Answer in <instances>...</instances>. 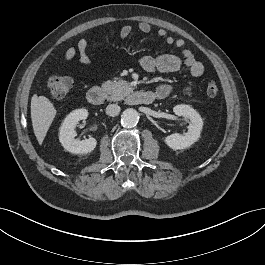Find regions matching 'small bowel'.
<instances>
[{"mask_svg": "<svg viewBox=\"0 0 265 265\" xmlns=\"http://www.w3.org/2000/svg\"><path fill=\"white\" fill-rule=\"evenodd\" d=\"M139 30L147 34L151 31V25L147 22H141L139 24ZM131 32L132 27L130 25H124L120 29L119 36L121 39H125ZM157 36L163 39L167 45L176 47L179 54H163L157 57L143 56L139 59V65L144 71L149 73H171L178 71L181 67H186L192 77L197 78L204 73V65L195 58L193 52L186 46L184 40L174 38L169 35L165 29H159L157 31ZM87 47V39L81 38L78 40L76 46H72L66 50L65 58L71 60L78 54L80 66L87 67L91 64V59L87 54ZM170 92L171 86L166 83L157 85L152 91L158 99L167 97ZM185 93L191 95L193 93L192 86L187 85L185 87Z\"/></svg>", "mask_w": 265, "mask_h": 265, "instance_id": "small-bowel-1", "label": "small bowel"}]
</instances>
